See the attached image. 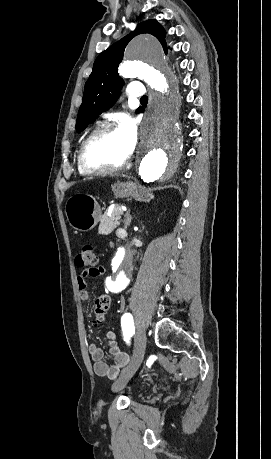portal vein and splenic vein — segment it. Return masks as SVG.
Segmentation results:
<instances>
[{
	"instance_id": "portal-vein-and-splenic-vein-1",
	"label": "portal vein and splenic vein",
	"mask_w": 271,
	"mask_h": 459,
	"mask_svg": "<svg viewBox=\"0 0 271 459\" xmlns=\"http://www.w3.org/2000/svg\"><path fill=\"white\" fill-rule=\"evenodd\" d=\"M120 218H121V214H117V215H116V220L119 221Z\"/></svg>"
}]
</instances>
